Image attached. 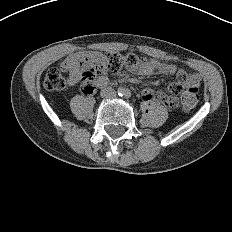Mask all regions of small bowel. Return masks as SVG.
I'll return each mask as SVG.
<instances>
[{"label":"small bowel","mask_w":232,"mask_h":232,"mask_svg":"<svg viewBox=\"0 0 232 232\" xmlns=\"http://www.w3.org/2000/svg\"><path fill=\"white\" fill-rule=\"evenodd\" d=\"M65 70L69 74V84L74 85L80 80V71L78 69L77 61L74 57L68 58L64 62ZM133 73L147 76L153 74H165L177 76V83L185 81L188 86L197 88L200 85V76L197 73L187 72L183 69H178L174 64L171 63H162L156 59H148L147 63L141 65L137 68L132 69ZM108 84V78L104 75L100 76L97 85L100 87H105ZM158 94V93H157ZM151 89H144L142 92V97L146 101H152L155 99L156 95Z\"/></svg>","instance_id":"1"}]
</instances>
